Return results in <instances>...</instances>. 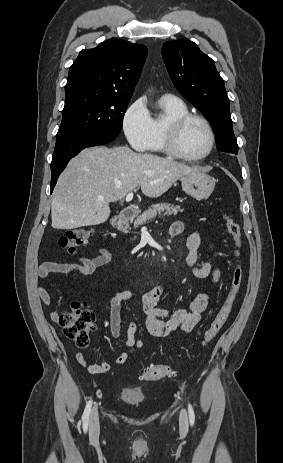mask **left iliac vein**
<instances>
[{
	"instance_id": "obj_1",
	"label": "left iliac vein",
	"mask_w": 283,
	"mask_h": 463,
	"mask_svg": "<svg viewBox=\"0 0 283 463\" xmlns=\"http://www.w3.org/2000/svg\"><path fill=\"white\" fill-rule=\"evenodd\" d=\"M180 427L183 430H186L188 427V418H187V412L185 409H182L180 412Z\"/></svg>"
}]
</instances>
